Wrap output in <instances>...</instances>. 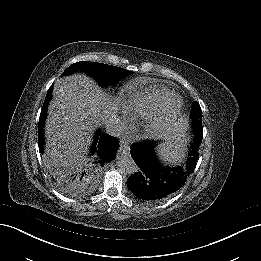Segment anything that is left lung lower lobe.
I'll return each mask as SVG.
<instances>
[{
    "mask_svg": "<svg viewBox=\"0 0 261 261\" xmlns=\"http://www.w3.org/2000/svg\"><path fill=\"white\" fill-rule=\"evenodd\" d=\"M202 137H195L190 158L184 167H163L156 159L154 142L144 140L131 147V156L139 170L128 180L127 186L135 196L150 202L165 200L175 194L196 167Z\"/></svg>",
    "mask_w": 261,
    "mask_h": 261,
    "instance_id": "left-lung-lower-lobe-1",
    "label": "left lung lower lobe"
}]
</instances>
